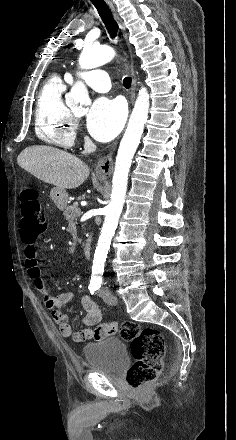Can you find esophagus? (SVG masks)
Here are the masks:
<instances>
[{
    "instance_id": "1",
    "label": "esophagus",
    "mask_w": 236,
    "mask_h": 440,
    "mask_svg": "<svg viewBox=\"0 0 236 440\" xmlns=\"http://www.w3.org/2000/svg\"><path fill=\"white\" fill-rule=\"evenodd\" d=\"M109 8L115 18V20L117 21L119 27L121 28V30H125V26L123 24V22L121 21V19L119 18V16L116 13V10L113 6L112 3H109ZM125 39L127 40V35H124ZM131 75H132V85H131V90H130V97H131V102L133 103L134 99H135V93H136V78H135V71L133 68V63H131ZM112 154L113 152H110L108 155L102 157L99 159V161L97 162L96 166H95V174L96 176L100 177V178H108L112 171H113V160H112Z\"/></svg>"
}]
</instances>
